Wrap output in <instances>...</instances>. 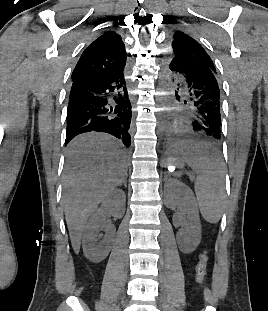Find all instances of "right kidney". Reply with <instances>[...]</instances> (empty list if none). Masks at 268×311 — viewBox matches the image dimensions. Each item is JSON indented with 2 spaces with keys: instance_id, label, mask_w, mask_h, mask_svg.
Wrapping results in <instances>:
<instances>
[{
  "instance_id": "obj_1",
  "label": "right kidney",
  "mask_w": 268,
  "mask_h": 311,
  "mask_svg": "<svg viewBox=\"0 0 268 311\" xmlns=\"http://www.w3.org/2000/svg\"><path fill=\"white\" fill-rule=\"evenodd\" d=\"M125 202V193L116 189L103 200L100 208L90 217L82 238L84 255L90 261L101 262L109 254L116 229L112 224L104 226L103 222L108 215L121 218L125 213ZM101 229H104L105 235L98 243Z\"/></svg>"
}]
</instances>
